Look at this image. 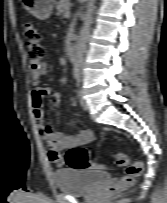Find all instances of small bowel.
I'll return each mask as SVG.
<instances>
[{
  "label": "small bowel",
  "instance_id": "1",
  "mask_svg": "<svg viewBox=\"0 0 167 203\" xmlns=\"http://www.w3.org/2000/svg\"><path fill=\"white\" fill-rule=\"evenodd\" d=\"M47 73L48 66L45 63H41L37 68L30 66V79L34 85L31 90V103L34 118L48 148V158L57 166H62L65 163L62 152L72 147L82 146L92 142L94 140V133L89 129H83L76 134L52 131L53 124L45 120L43 99L49 96L51 98V105L57 109L61 104V97L58 92L53 91L51 88L37 86L39 78ZM72 105L77 106L75 99H72Z\"/></svg>",
  "mask_w": 167,
  "mask_h": 203
}]
</instances>
